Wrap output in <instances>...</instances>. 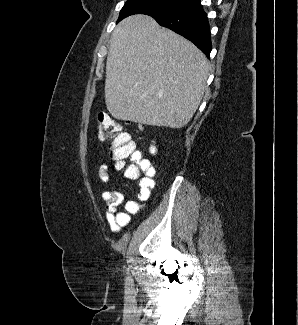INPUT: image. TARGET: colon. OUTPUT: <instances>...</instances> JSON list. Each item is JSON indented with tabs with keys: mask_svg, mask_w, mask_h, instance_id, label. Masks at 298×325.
<instances>
[{
	"mask_svg": "<svg viewBox=\"0 0 298 325\" xmlns=\"http://www.w3.org/2000/svg\"><path fill=\"white\" fill-rule=\"evenodd\" d=\"M96 136L101 143H109V149L120 166L125 162L130 164L126 168L127 178L135 179L140 174L154 169L151 161L144 159L135 149L130 135L122 131L121 124L108 113H100L96 120Z\"/></svg>",
	"mask_w": 298,
	"mask_h": 325,
	"instance_id": "obj_1",
	"label": "colon"
}]
</instances>
